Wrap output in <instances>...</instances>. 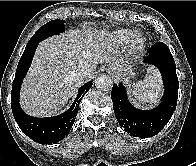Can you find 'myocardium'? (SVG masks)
Wrapping results in <instances>:
<instances>
[{"instance_id":"1","label":"myocardium","mask_w":196,"mask_h":166,"mask_svg":"<svg viewBox=\"0 0 196 166\" xmlns=\"http://www.w3.org/2000/svg\"><path fill=\"white\" fill-rule=\"evenodd\" d=\"M131 46L136 51H143L146 47L147 40L142 33H135L130 38Z\"/></svg>"}]
</instances>
